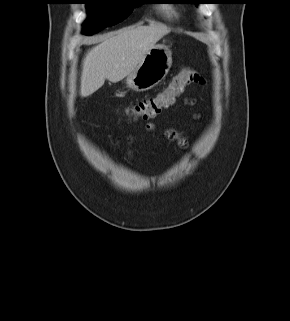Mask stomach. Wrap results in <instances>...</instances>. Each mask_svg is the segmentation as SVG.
I'll list each match as a JSON object with an SVG mask.
<instances>
[{
    "mask_svg": "<svg viewBox=\"0 0 290 321\" xmlns=\"http://www.w3.org/2000/svg\"><path fill=\"white\" fill-rule=\"evenodd\" d=\"M172 65V53L162 44L155 45L146 54L139 66L126 78L128 88L143 92L159 84Z\"/></svg>",
    "mask_w": 290,
    "mask_h": 321,
    "instance_id": "0dacf381",
    "label": "stomach"
}]
</instances>
